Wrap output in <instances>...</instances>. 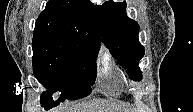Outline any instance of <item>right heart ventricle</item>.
I'll use <instances>...</instances> for the list:
<instances>
[{
	"label": "right heart ventricle",
	"instance_id": "right-heart-ventricle-1",
	"mask_svg": "<svg viewBox=\"0 0 193 112\" xmlns=\"http://www.w3.org/2000/svg\"><path fill=\"white\" fill-rule=\"evenodd\" d=\"M100 74L105 78H111L114 74V62L111 53L104 49L100 53Z\"/></svg>",
	"mask_w": 193,
	"mask_h": 112
}]
</instances>
